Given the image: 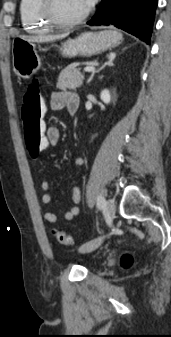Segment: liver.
<instances>
[{"label":"liver","instance_id":"6515ba94","mask_svg":"<svg viewBox=\"0 0 171 337\" xmlns=\"http://www.w3.org/2000/svg\"><path fill=\"white\" fill-rule=\"evenodd\" d=\"M65 36L66 35H40V36H35V37L21 36L20 38L26 39L31 42H48V41H53L56 39H61Z\"/></svg>","mask_w":171,"mask_h":337}]
</instances>
